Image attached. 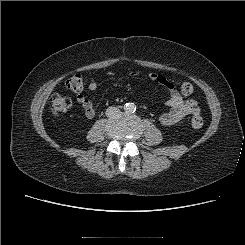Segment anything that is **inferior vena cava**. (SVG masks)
<instances>
[{
    "label": "inferior vena cava",
    "mask_w": 245,
    "mask_h": 245,
    "mask_svg": "<svg viewBox=\"0 0 245 245\" xmlns=\"http://www.w3.org/2000/svg\"><path fill=\"white\" fill-rule=\"evenodd\" d=\"M118 113H120V110L117 107H109L106 110V116L107 117H113L115 115H117Z\"/></svg>",
    "instance_id": "1"
}]
</instances>
